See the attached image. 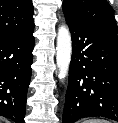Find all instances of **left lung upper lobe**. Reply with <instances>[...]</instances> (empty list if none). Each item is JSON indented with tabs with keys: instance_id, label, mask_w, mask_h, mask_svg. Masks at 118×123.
Segmentation results:
<instances>
[{
	"instance_id": "5c2ea615",
	"label": "left lung upper lobe",
	"mask_w": 118,
	"mask_h": 123,
	"mask_svg": "<svg viewBox=\"0 0 118 123\" xmlns=\"http://www.w3.org/2000/svg\"><path fill=\"white\" fill-rule=\"evenodd\" d=\"M66 21L118 32L114 11L106 0H64Z\"/></svg>"
}]
</instances>
